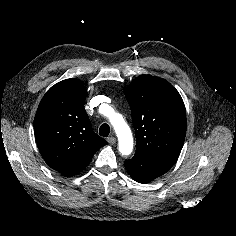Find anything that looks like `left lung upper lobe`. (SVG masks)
<instances>
[{
	"label": "left lung upper lobe",
	"mask_w": 236,
	"mask_h": 236,
	"mask_svg": "<svg viewBox=\"0 0 236 236\" xmlns=\"http://www.w3.org/2000/svg\"><path fill=\"white\" fill-rule=\"evenodd\" d=\"M136 131V153L174 164L186 135V111L178 91L166 80L141 75L127 87Z\"/></svg>",
	"instance_id": "obj_1"
}]
</instances>
